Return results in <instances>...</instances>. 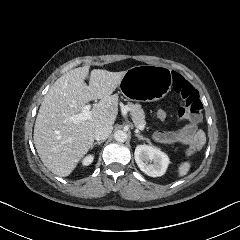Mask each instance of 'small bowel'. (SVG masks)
Listing matches in <instances>:
<instances>
[{"label":"small bowel","mask_w":240,"mask_h":240,"mask_svg":"<svg viewBox=\"0 0 240 240\" xmlns=\"http://www.w3.org/2000/svg\"><path fill=\"white\" fill-rule=\"evenodd\" d=\"M198 124L188 123L179 130H160L154 134V139L164 144H187L196 131L200 130Z\"/></svg>","instance_id":"small-bowel-1"}]
</instances>
